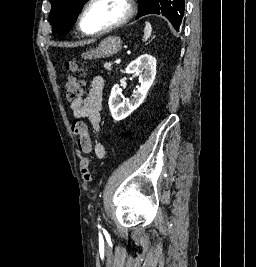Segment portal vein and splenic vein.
I'll return each instance as SVG.
<instances>
[{
	"mask_svg": "<svg viewBox=\"0 0 256 267\" xmlns=\"http://www.w3.org/2000/svg\"><path fill=\"white\" fill-rule=\"evenodd\" d=\"M115 63H116V64H122V63H123V60H122V59H116V60H115Z\"/></svg>",
	"mask_w": 256,
	"mask_h": 267,
	"instance_id": "1",
	"label": "portal vein and splenic vein"
}]
</instances>
